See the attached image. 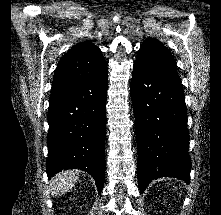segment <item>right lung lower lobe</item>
<instances>
[{"label": "right lung lower lobe", "instance_id": "obj_1", "mask_svg": "<svg viewBox=\"0 0 221 215\" xmlns=\"http://www.w3.org/2000/svg\"><path fill=\"white\" fill-rule=\"evenodd\" d=\"M107 70L49 98L48 177L78 168L93 176L98 192L105 176Z\"/></svg>", "mask_w": 221, "mask_h": 215}]
</instances>
